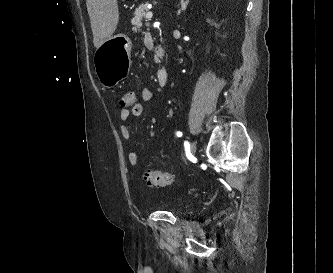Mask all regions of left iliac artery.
Returning a JSON list of instances; mask_svg holds the SVG:
<instances>
[{
	"label": "left iliac artery",
	"mask_w": 333,
	"mask_h": 273,
	"mask_svg": "<svg viewBox=\"0 0 333 273\" xmlns=\"http://www.w3.org/2000/svg\"><path fill=\"white\" fill-rule=\"evenodd\" d=\"M176 135H177L178 137H181V136H182V132L178 131V132L176 133Z\"/></svg>",
	"instance_id": "1"
}]
</instances>
